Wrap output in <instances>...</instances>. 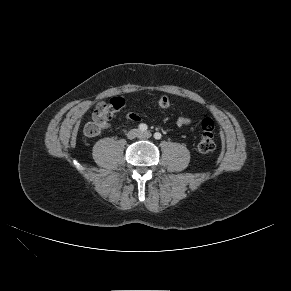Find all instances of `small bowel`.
I'll use <instances>...</instances> for the list:
<instances>
[{
  "label": "small bowel",
  "mask_w": 291,
  "mask_h": 291,
  "mask_svg": "<svg viewBox=\"0 0 291 291\" xmlns=\"http://www.w3.org/2000/svg\"><path fill=\"white\" fill-rule=\"evenodd\" d=\"M114 99H117V98H114ZM121 99V98H120ZM113 100V99H112ZM122 101V100H121ZM106 104H99L98 106H97V108H96V110H95V112H94V114H96L100 109H102L103 108V106H105ZM123 106V105H122ZM121 106V107H122ZM126 119L128 120V121H131V122H138V121H140V116L137 114V113H135V112H128L127 114H126ZM192 122V119L190 118V117H188V116H181V117H179L178 118V120H177V124L179 125V126H184V125H188V124H190Z\"/></svg>",
  "instance_id": "small-bowel-1"
}]
</instances>
